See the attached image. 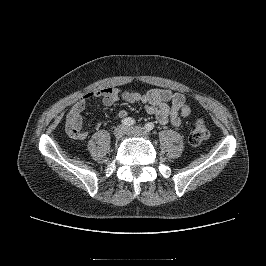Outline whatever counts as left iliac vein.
Segmentation results:
<instances>
[{
    "label": "left iliac vein",
    "instance_id": "1",
    "mask_svg": "<svg viewBox=\"0 0 266 266\" xmlns=\"http://www.w3.org/2000/svg\"><path fill=\"white\" fill-rule=\"evenodd\" d=\"M125 131L127 135L136 137H148L150 134V132L145 127L141 126L127 127Z\"/></svg>",
    "mask_w": 266,
    "mask_h": 266
}]
</instances>
